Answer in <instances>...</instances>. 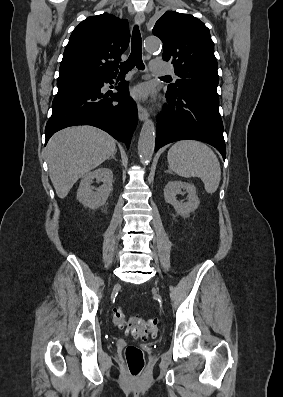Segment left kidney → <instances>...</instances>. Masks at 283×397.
I'll use <instances>...</instances> for the list:
<instances>
[{"label": "left kidney", "mask_w": 283, "mask_h": 397, "mask_svg": "<svg viewBox=\"0 0 283 397\" xmlns=\"http://www.w3.org/2000/svg\"><path fill=\"white\" fill-rule=\"evenodd\" d=\"M182 190H186L188 193V199L184 203L178 201L176 198V195L181 193ZM164 198L167 203L173 205L176 213L183 217H188L200 204L195 186L193 184L177 180L168 182L165 186Z\"/></svg>", "instance_id": "obj_1"}]
</instances>
